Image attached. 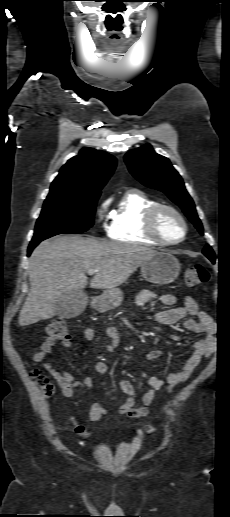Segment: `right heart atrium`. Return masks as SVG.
<instances>
[{"mask_svg": "<svg viewBox=\"0 0 230 517\" xmlns=\"http://www.w3.org/2000/svg\"><path fill=\"white\" fill-rule=\"evenodd\" d=\"M109 205H110V200L105 199L102 202H100V204L98 205L97 210H96V216H97L98 222L102 228H105L108 223Z\"/></svg>", "mask_w": 230, "mask_h": 517, "instance_id": "d8ad5b80", "label": "right heart atrium"}]
</instances>
